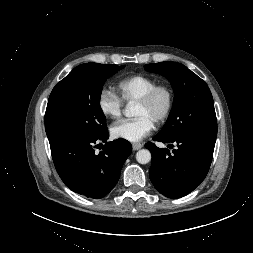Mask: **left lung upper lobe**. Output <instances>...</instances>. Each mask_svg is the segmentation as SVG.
I'll return each mask as SVG.
<instances>
[{"label":"left lung upper lobe","mask_w":253,"mask_h":253,"mask_svg":"<svg viewBox=\"0 0 253 253\" xmlns=\"http://www.w3.org/2000/svg\"><path fill=\"white\" fill-rule=\"evenodd\" d=\"M144 68L165 76L175 93L172 110L159 136L173 139L194 134L216 139L214 102L205 81L177 62L146 64Z\"/></svg>","instance_id":"obj_1"}]
</instances>
